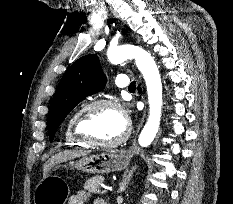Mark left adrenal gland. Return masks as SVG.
Wrapping results in <instances>:
<instances>
[{
    "label": "left adrenal gland",
    "mask_w": 233,
    "mask_h": 204,
    "mask_svg": "<svg viewBox=\"0 0 233 204\" xmlns=\"http://www.w3.org/2000/svg\"><path fill=\"white\" fill-rule=\"evenodd\" d=\"M135 170H136V167L133 166L131 168V170H126L124 172L123 179H122V181L120 183V188L118 190V193H122V192H124L126 190V188L128 187V184L131 181V178H132L133 173L135 172Z\"/></svg>",
    "instance_id": "1"
}]
</instances>
